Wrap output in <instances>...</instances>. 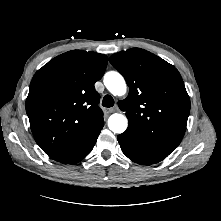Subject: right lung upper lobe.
Returning <instances> with one entry per match:
<instances>
[{
  "instance_id": "1",
  "label": "right lung upper lobe",
  "mask_w": 221,
  "mask_h": 221,
  "mask_svg": "<svg viewBox=\"0 0 221 221\" xmlns=\"http://www.w3.org/2000/svg\"><path fill=\"white\" fill-rule=\"evenodd\" d=\"M107 61L103 54L72 50L34 75L26 112L33 136L48 156L79 144L103 119L94 84L103 76Z\"/></svg>"
}]
</instances>
